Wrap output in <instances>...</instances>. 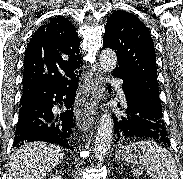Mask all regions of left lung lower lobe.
I'll return each mask as SVG.
<instances>
[{
  "mask_svg": "<svg viewBox=\"0 0 183 179\" xmlns=\"http://www.w3.org/2000/svg\"><path fill=\"white\" fill-rule=\"evenodd\" d=\"M114 76L120 78L117 75ZM122 86L127 100V116L113 118L116 142L124 138L148 137L161 140L170 146L162 117L146 107L124 79Z\"/></svg>",
  "mask_w": 183,
  "mask_h": 179,
  "instance_id": "obj_1",
  "label": "left lung lower lobe"
}]
</instances>
